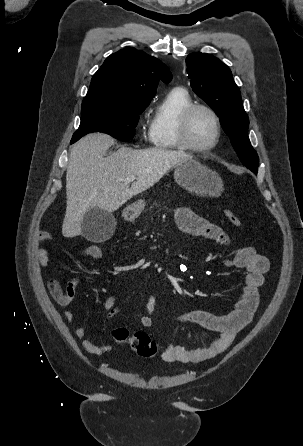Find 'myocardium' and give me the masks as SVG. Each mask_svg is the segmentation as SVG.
<instances>
[{
	"mask_svg": "<svg viewBox=\"0 0 303 446\" xmlns=\"http://www.w3.org/2000/svg\"><path fill=\"white\" fill-rule=\"evenodd\" d=\"M199 109L206 111L213 119L215 125V138L213 142L207 146H196L191 142L189 138L190 118L192 114ZM177 133L179 143L184 149L203 153L213 150L219 144L222 136V126L217 113L211 107L202 103H192L181 113L179 117Z\"/></svg>",
	"mask_w": 303,
	"mask_h": 446,
	"instance_id": "1",
	"label": "myocardium"
}]
</instances>
